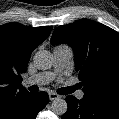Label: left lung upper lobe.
Here are the masks:
<instances>
[{"mask_svg": "<svg viewBox=\"0 0 119 119\" xmlns=\"http://www.w3.org/2000/svg\"><path fill=\"white\" fill-rule=\"evenodd\" d=\"M51 43H66L86 96L119 104V33L89 19L55 29Z\"/></svg>", "mask_w": 119, "mask_h": 119, "instance_id": "5c2ea615", "label": "left lung upper lobe"}]
</instances>
